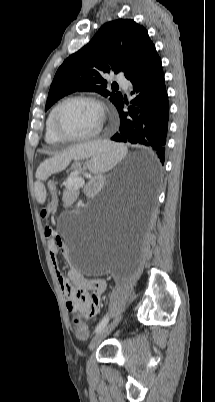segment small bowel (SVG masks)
I'll return each instance as SVG.
<instances>
[{
	"label": "small bowel",
	"mask_w": 215,
	"mask_h": 402,
	"mask_svg": "<svg viewBox=\"0 0 215 402\" xmlns=\"http://www.w3.org/2000/svg\"><path fill=\"white\" fill-rule=\"evenodd\" d=\"M68 203L67 200H64V204L68 205ZM44 234L68 311L73 314H85L88 317L97 315L100 312L101 298L106 289L105 281L100 278L85 277L75 268H71L65 276L58 266V253L60 251L65 253V244L58 232L51 226L45 227ZM92 307H94V311H91Z\"/></svg>",
	"instance_id": "small-bowel-1"
}]
</instances>
